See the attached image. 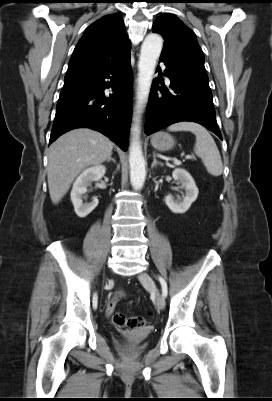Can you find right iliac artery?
<instances>
[{
    "label": "right iliac artery",
    "instance_id": "right-iliac-artery-1",
    "mask_svg": "<svg viewBox=\"0 0 272 401\" xmlns=\"http://www.w3.org/2000/svg\"><path fill=\"white\" fill-rule=\"evenodd\" d=\"M97 295L96 294H94V296H93V307L94 308H97Z\"/></svg>",
    "mask_w": 272,
    "mask_h": 401
}]
</instances>
